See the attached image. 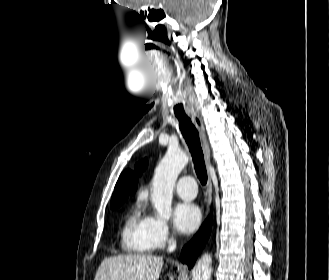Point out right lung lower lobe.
<instances>
[{
	"label": "right lung lower lobe",
	"mask_w": 329,
	"mask_h": 280,
	"mask_svg": "<svg viewBox=\"0 0 329 280\" xmlns=\"http://www.w3.org/2000/svg\"><path fill=\"white\" fill-rule=\"evenodd\" d=\"M211 217L209 216L207 220L202 225L198 233L184 246L181 252V261L188 265V268L191 269L194 265L195 260L197 259L199 253L205 246L210 232H211Z\"/></svg>",
	"instance_id": "98d812e1"
}]
</instances>
